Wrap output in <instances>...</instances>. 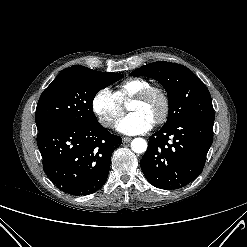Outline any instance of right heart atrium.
I'll use <instances>...</instances> for the list:
<instances>
[{
	"label": "right heart atrium",
	"mask_w": 247,
	"mask_h": 247,
	"mask_svg": "<svg viewBox=\"0 0 247 247\" xmlns=\"http://www.w3.org/2000/svg\"><path fill=\"white\" fill-rule=\"evenodd\" d=\"M91 107L99 123L106 128L113 127L124 112L122 103L107 88L100 89L95 93Z\"/></svg>",
	"instance_id": "1"
}]
</instances>
